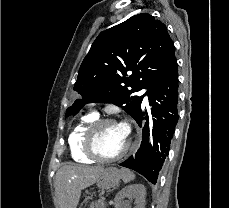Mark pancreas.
<instances>
[{
    "mask_svg": "<svg viewBox=\"0 0 229 208\" xmlns=\"http://www.w3.org/2000/svg\"><path fill=\"white\" fill-rule=\"evenodd\" d=\"M105 198H100V200H97V202H91L89 208H106Z\"/></svg>",
    "mask_w": 229,
    "mask_h": 208,
    "instance_id": "obj_1",
    "label": "pancreas"
}]
</instances>
